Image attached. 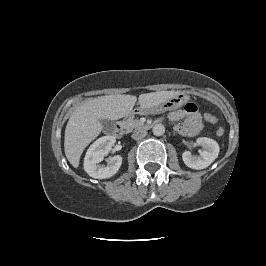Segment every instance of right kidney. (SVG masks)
<instances>
[{
  "mask_svg": "<svg viewBox=\"0 0 266 266\" xmlns=\"http://www.w3.org/2000/svg\"><path fill=\"white\" fill-rule=\"evenodd\" d=\"M115 142L116 138L114 136H103L89 147L84 158V169L89 176L96 179H105L118 172L122 164L120 155L109 158L107 166L99 164L108 155Z\"/></svg>",
  "mask_w": 266,
  "mask_h": 266,
  "instance_id": "right-kidney-1",
  "label": "right kidney"
}]
</instances>
